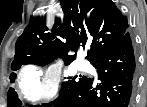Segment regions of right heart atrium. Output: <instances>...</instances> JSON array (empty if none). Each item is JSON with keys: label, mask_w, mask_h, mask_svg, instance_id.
I'll return each mask as SVG.
<instances>
[{"label": "right heart atrium", "mask_w": 147, "mask_h": 107, "mask_svg": "<svg viewBox=\"0 0 147 107\" xmlns=\"http://www.w3.org/2000/svg\"><path fill=\"white\" fill-rule=\"evenodd\" d=\"M20 91L31 103L51 100L58 94L59 76L54 67L46 70L29 68L20 76Z\"/></svg>", "instance_id": "d8ad5b80"}]
</instances>
